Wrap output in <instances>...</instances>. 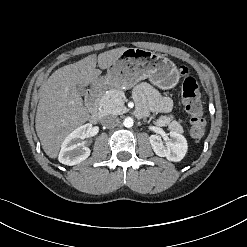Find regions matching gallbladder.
<instances>
[{"instance_id":"gallbladder-1","label":"gallbladder","mask_w":247,"mask_h":247,"mask_svg":"<svg viewBox=\"0 0 247 247\" xmlns=\"http://www.w3.org/2000/svg\"><path fill=\"white\" fill-rule=\"evenodd\" d=\"M78 92H79L80 95L84 96L85 93H86V90H85L84 87L79 86V87H78Z\"/></svg>"}]
</instances>
